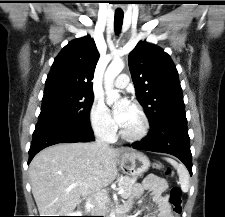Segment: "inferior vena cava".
Listing matches in <instances>:
<instances>
[{
  "mask_svg": "<svg viewBox=\"0 0 225 217\" xmlns=\"http://www.w3.org/2000/svg\"><path fill=\"white\" fill-rule=\"evenodd\" d=\"M95 144L100 149H108L109 145L101 136H97L95 140ZM90 201L93 204V214L97 216L104 214V206L102 202V195L98 193H92L90 197Z\"/></svg>",
  "mask_w": 225,
  "mask_h": 217,
  "instance_id": "obj_1",
  "label": "inferior vena cava"
}]
</instances>
